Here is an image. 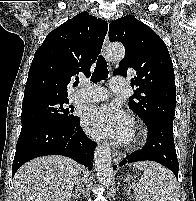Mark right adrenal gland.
I'll use <instances>...</instances> for the list:
<instances>
[{
  "instance_id": "right-adrenal-gland-1",
  "label": "right adrenal gland",
  "mask_w": 196,
  "mask_h": 201,
  "mask_svg": "<svg viewBox=\"0 0 196 201\" xmlns=\"http://www.w3.org/2000/svg\"><path fill=\"white\" fill-rule=\"evenodd\" d=\"M72 198L78 199L80 197V193L77 192V190L75 192H73L71 194Z\"/></svg>"
}]
</instances>
